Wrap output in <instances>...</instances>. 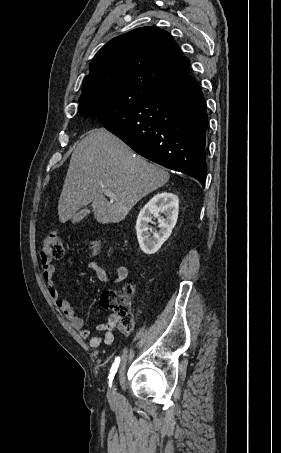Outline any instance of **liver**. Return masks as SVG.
<instances>
[{
  "label": "liver",
  "instance_id": "obj_1",
  "mask_svg": "<svg viewBox=\"0 0 281 453\" xmlns=\"http://www.w3.org/2000/svg\"><path fill=\"white\" fill-rule=\"evenodd\" d=\"M169 172L135 154L106 128H93L72 152L58 200L60 222L91 202L97 222H120L143 196L168 182ZM117 198L107 200L104 190Z\"/></svg>",
  "mask_w": 281,
  "mask_h": 453
}]
</instances>
